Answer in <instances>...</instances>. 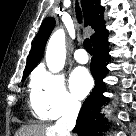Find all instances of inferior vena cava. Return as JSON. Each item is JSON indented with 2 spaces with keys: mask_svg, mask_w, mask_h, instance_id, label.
<instances>
[{
  "mask_svg": "<svg viewBox=\"0 0 136 136\" xmlns=\"http://www.w3.org/2000/svg\"><path fill=\"white\" fill-rule=\"evenodd\" d=\"M80 107L79 103H69L62 118L55 124V129L59 136H70V131L75 126Z\"/></svg>",
  "mask_w": 136,
  "mask_h": 136,
  "instance_id": "inferior-vena-cava-1",
  "label": "inferior vena cava"
}]
</instances>
